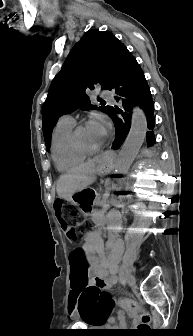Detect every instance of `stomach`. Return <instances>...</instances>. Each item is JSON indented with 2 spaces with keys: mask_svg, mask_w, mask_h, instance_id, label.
<instances>
[{
  "mask_svg": "<svg viewBox=\"0 0 193 336\" xmlns=\"http://www.w3.org/2000/svg\"><path fill=\"white\" fill-rule=\"evenodd\" d=\"M113 159L114 157L111 154H105L102 156L101 161L98 163L99 173H109L112 169ZM70 200L74 205L79 206L84 214H88L93 202L95 201V194L89 189L84 188L74 192L70 196Z\"/></svg>",
  "mask_w": 193,
  "mask_h": 336,
  "instance_id": "1",
  "label": "stomach"
}]
</instances>
